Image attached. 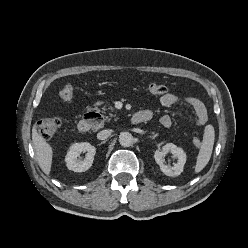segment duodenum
<instances>
[{
  "mask_svg": "<svg viewBox=\"0 0 248 248\" xmlns=\"http://www.w3.org/2000/svg\"><path fill=\"white\" fill-rule=\"evenodd\" d=\"M151 119V117L144 113H134L130 117V121L133 124H140L143 122H147ZM101 124V116L98 113L95 112H89L85 114L78 123V129L81 132H89L97 127H99Z\"/></svg>",
  "mask_w": 248,
  "mask_h": 248,
  "instance_id": "obj_1",
  "label": "duodenum"
}]
</instances>
